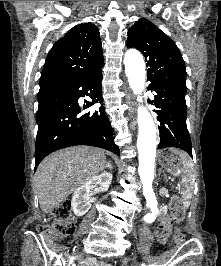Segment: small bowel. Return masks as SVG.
<instances>
[{"label":"small bowel","mask_w":221,"mask_h":266,"mask_svg":"<svg viewBox=\"0 0 221 266\" xmlns=\"http://www.w3.org/2000/svg\"><path fill=\"white\" fill-rule=\"evenodd\" d=\"M88 266H112V265L106 261L90 260Z\"/></svg>","instance_id":"small-bowel-1"}]
</instances>
